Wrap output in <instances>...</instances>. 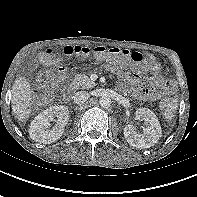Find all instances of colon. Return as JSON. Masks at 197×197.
<instances>
[{"label": "colon", "mask_w": 197, "mask_h": 197, "mask_svg": "<svg viewBox=\"0 0 197 197\" xmlns=\"http://www.w3.org/2000/svg\"><path fill=\"white\" fill-rule=\"evenodd\" d=\"M61 56H93L97 59H107L112 62H131L140 68L150 67L154 63V57L149 53L130 51L117 47L106 48L103 46L94 48L86 46L53 47L43 53L40 60L46 65H55ZM65 76V70L60 67L45 71L40 77L39 84L34 89L35 95L38 97L49 95L51 90L64 80ZM176 107L177 102L174 97H168L162 102L163 115L166 120L170 121L173 119Z\"/></svg>", "instance_id": "obj_1"}]
</instances>
